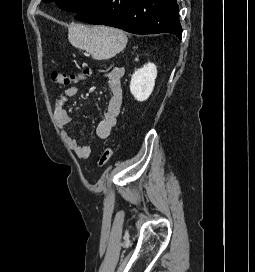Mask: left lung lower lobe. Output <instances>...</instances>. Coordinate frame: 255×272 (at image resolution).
Returning <instances> with one entry per match:
<instances>
[{"mask_svg":"<svg viewBox=\"0 0 255 272\" xmlns=\"http://www.w3.org/2000/svg\"><path fill=\"white\" fill-rule=\"evenodd\" d=\"M176 0H97L75 19L135 34L171 33L181 39Z\"/></svg>","mask_w":255,"mask_h":272,"instance_id":"obj_1","label":"left lung lower lobe"}]
</instances>
